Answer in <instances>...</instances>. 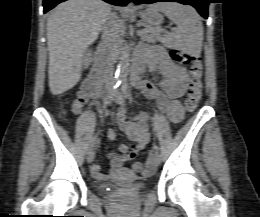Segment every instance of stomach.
<instances>
[{
  "label": "stomach",
  "mask_w": 260,
  "mask_h": 217,
  "mask_svg": "<svg viewBox=\"0 0 260 217\" xmlns=\"http://www.w3.org/2000/svg\"><path fill=\"white\" fill-rule=\"evenodd\" d=\"M140 16L143 21L148 23L151 26H158L162 23L163 17L159 12L152 7L146 8L143 11H141Z\"/></svg>",
  "instance_id": "stomach-1"
}]
</instances>
